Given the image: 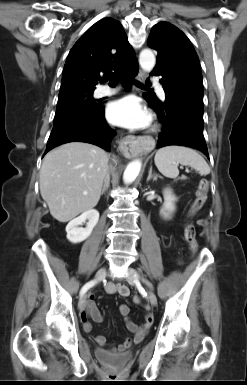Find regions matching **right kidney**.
I'll list each match as a JSON object with an SVG mask.
<instances>
[{
    "label": "right kidney",
    "mask_w": 247,
    "mask_h": 385,
    "mask_svg": "<svg viewBox=\"0 0 247 385\" xmlns=\"http://www.w3.org/2000/svg\"><path fill=\"white\" fill-rule=\"evenodd\" d=\"M88 220L86 228L79 227L83 222ZM99 220V212L95 209H90L82 213L79 217L73 219L66 226L67 239L77 244L86 240L92 233L93 228Z\"/></svg>",
    "instance_id": "ca27d5eb"
}]
</instances>
